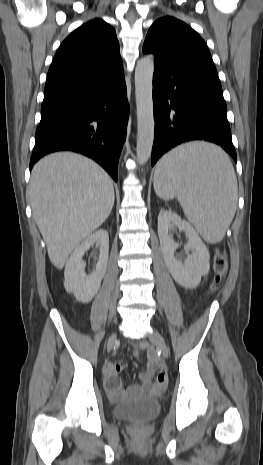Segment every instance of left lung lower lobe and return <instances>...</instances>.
I'll return each mask as SVG.
<instances>
[{"label": "left lung lower lobe", "instance_id": "obj_1", "mask_svg": "<svg viewBox=\"0 0 263 465\" xmlns=\"http://www.w3.org/2000/svg\"><path fill=\"white\" fill-rule=\"evenodd\" d=\"M155 137L152 166L173 147L192 140L220 145L237 161L218 75L154 62Z\"/></svg>", "mask_w": 263, "mask_h": 465}]
</instances>
